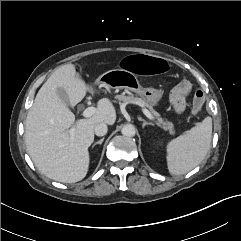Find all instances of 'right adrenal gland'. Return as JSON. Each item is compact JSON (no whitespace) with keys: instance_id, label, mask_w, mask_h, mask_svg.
Segmentation results:
<instances>
[{"instance_id":"2a0ac1e0","label":"right adrenal gland","mask_w":241,"mask_h":241,"mask_svg":"<svg viewBox=\"0 0 241 241\" xmlns=\"http://www.w3.org/2000/svg\"><path fill=\"white\" fill-rule=\"evenodd\" d=\"M104 141V137L103 138H101L99 141H97V142H95L93 145H92V148H94L96 145H101L102 144V142Z\"/></svg>"}]
</instances>
